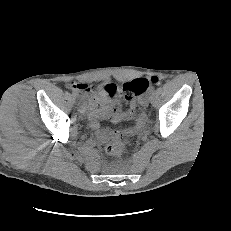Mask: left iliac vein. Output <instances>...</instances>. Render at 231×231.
<instances>
[{
    "label": "left iliac vein",
    "mask_w": 231,
    "mask_h": 231,
    "mask_svg": "<svg viewBox=\"0 0 231 231\" xmlns=\"http://www.w3.org/2000/svg\"><path fill=\"white\" fill-rule=\"evenodd\" d=\"M149 99H150V93L148 92L145 94V96L142 98V105L147 106L149 104Z\"/></svg>",
    "instance_id": "1"
}]
</instances>
